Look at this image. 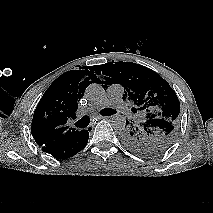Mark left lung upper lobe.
<instances>
[{
  "label": "left lung upper lobe",
  "mask_w": 213,
  "mask_h": 213,
  "mask_svg": "<svg viewBox=\"0 0 213 213\" xmlns=\"http://www.w3.org/2000/svg\"><path fill=\"white\" fill-rule=\"evenodd\" d=\"M101 72L105 75L102 84L123 85L129 100L136 105L132 111L140 115L122 132L125 146L145 157L170 148L179 132L180 102L169 83L155 71L131 62L98 65L96 73Z\"/></svg>",
  "instance_id": "5c2ea615"
}]
</instances>
